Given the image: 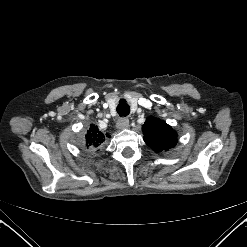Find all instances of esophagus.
I'll return each instance as SVG.
<instances>
[{
	"mask_svg": "<svg viewBox=\"0 0 247 247\" xmlns=\"http://www.w3.org/2000/svg\"><path fill=\"white\" fill-rule=\"evenodd\" d=\"M128 126H129V120L127 118L119 119L117 124H116V127L119 130L126 129V128H128Z\"/></svg>",
	"mask_w": 247,
	"mask_h": 247,
	"instance_id": "esophagus-1",
	"label": "esophagus"
}]
</instances>
